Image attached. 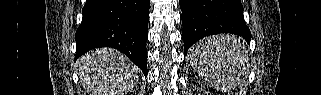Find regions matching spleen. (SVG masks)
Here are the masks:
<instances>
[{
  "instance_id": "obj_1",
  "label": "spleen",
  "mask_w": 321,
  "mask_h": 95,
  "mask_svg": "<svg viewBox=\"0 0 321 95\" xmlns=\"http://www.w3.org/2000/svg\"><path fill=\"white\" fill-rule=\"evenodd\" d=\"M193 68L218 90L241 86L249 68L245 43L234 35H214L202 39L190 49Z\"/></svg>"
}]
</instances>
